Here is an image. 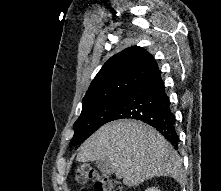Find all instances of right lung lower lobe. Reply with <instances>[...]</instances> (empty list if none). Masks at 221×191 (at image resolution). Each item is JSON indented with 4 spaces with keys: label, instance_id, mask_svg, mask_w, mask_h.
<instances>
[{
    "label": "right lung lower lobe",
    "instance_id": "1",
    "mask_svg": "<svg viewBox=\"0 0 221 191\" xmlns=\"http://www.w3.org/2000/svg\"><path fill=\"white\" fill-rule=\"evenodd\" d=\"M122 118L136 119L149 124L156 128L174 148H178L176 119L171 111L159 71L133 87L122 98L108 122Z\"/></svg>",
    "mask_w": 221,
    "mask_h": 191
}]
</instances>
